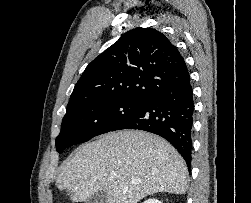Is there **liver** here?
<instances>
[{
	"mask_svg": "<svg viewBox=\"0 0 251 203\" xmlns=\"http://www.w3.org/2000/svg\"><path fill=\"white\" fill-rule=\"evenodd\" d=\"M187 177L183 158L169 142L148 132L123 130L77 148L56 185L73 202L104 190L108 203H138L158 192L185 194Z\"/></svg>",
	"mask_w": 251,
	"mask_h": 203,
	"instance_id": "6515ba94",
	"label": "liver"
}]
</instances>
